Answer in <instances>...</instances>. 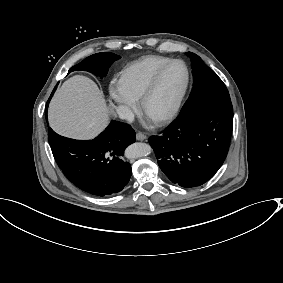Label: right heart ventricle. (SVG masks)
<instances>
[{
  "label": "right heart ventricle",
  "instance_id": "e07e8e85",
  "mask_svg": "<svg viewBox=\"0 0 283 283\" xmlns=\"http://www.w3.org/2000/svg\"><path fill=\"white\" fill-rule=\"evenodd\" d=\"M172 58L150 55L128 65L120 72V82L126 93L135 101L139 100L151 75Z\"/></svg>",
  "mask_w": 283,
  "mask_h": 283
}]
</instances>
